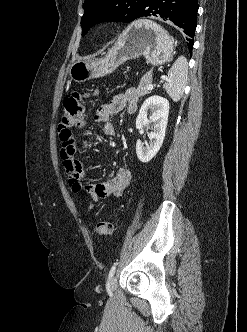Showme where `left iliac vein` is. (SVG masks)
Wrapping results in <instances>:
<instances>
[{
    "label": "left iliac vein",
    "mask_w": 247,
    "mask_h": 332,
    "mask_svg": "<svg viewBox=\"0 0 247 332\" xmlns=\"http://www.w3.org/2000/svg\"><path fill=\"white\" fill-rule=\"evenodd\" d=\"M117 288V279L116 277H112L108 284V291L113 292Z\"/></svg>",
    "instance_id": "1"
}]
</instances>
